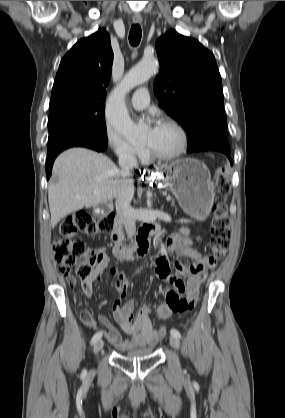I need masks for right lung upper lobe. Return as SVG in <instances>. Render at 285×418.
I'll use <instances>...</instances> for the list:
<instances>
[{"mask_svg":"<svg viewBox=\"0 0 285 418\" xmlns=\"http://www.w3.org/2000/svg\"><path fill=\"white\" fill-rule=\"evenodd\" d=\"M113 51L104 29L79 40L60 62L50 104L70 101L104 104Z\"/></svg>","mask_w":285,"mask_h":418,"instance_id":"1","label":"right lung upper lobe"}]
</instances>
